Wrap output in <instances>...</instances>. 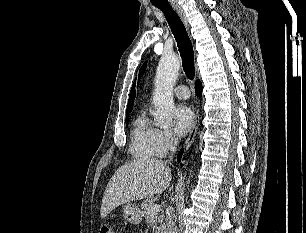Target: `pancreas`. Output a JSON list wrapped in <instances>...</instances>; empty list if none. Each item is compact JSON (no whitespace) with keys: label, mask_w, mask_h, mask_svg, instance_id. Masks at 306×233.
Masks as SVG:
<instances>
[{"label":"pancreas","mask_w":306,"mask_h":233,"mask_svg":"<svg viewBox=\"0 0 306 233\" xmlns=\"http://www.w3.org/2000/svg\"><path fill=\"white\" fill-rule=\"evenodd\" d=\"M154 198H148L143 201L141 207L144 210L142 215L145 217L148 226L153 230V233H165L164 214L159 211L156 214H149V208L154 205Z\"/></svg>","instance_id":"cf45deb5"}]
</instances>
